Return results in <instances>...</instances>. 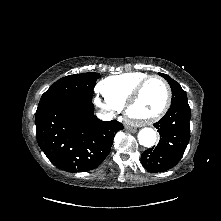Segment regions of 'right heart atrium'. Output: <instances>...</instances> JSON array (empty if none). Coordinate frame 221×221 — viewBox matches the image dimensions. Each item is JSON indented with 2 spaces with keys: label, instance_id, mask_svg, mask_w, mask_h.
Segmentation results:
<instances>
[{
  "label": "right heart atrium",
  "instance_id": "right-heart-atrium-1",
  "mask_svg": "<svg viewBox=\"0 0 221 221\" xmlns=\"http://www.w3.org/2000/svg\"><path fill=\"white\" fill-rule=\"evenodd\" d=\"M98 91V90H97ZM95 106L104 113H114L120 108L116 107L112 103L108 102L104 97L95 96L93 99Z\"/></svg>",
  "mask_w": 221,
  "mask_h": 221
}]
</instances>
